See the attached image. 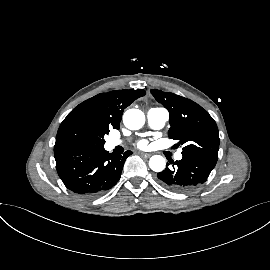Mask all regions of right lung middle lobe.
Listing matches in <instances>:
<instances>
[{
	"instance_id": "obj_1",
	"label": "right lung middle lobe",
	"mask_w": 270,
	"mask_h": 270,
	"mask_svg": "<svg viewBox=\"0 0 270 270\" xmlns=\"http://www.w3.org/2000/svg\"><path fill=\"white\" fill-rule=\"evenodd\" d=\"M108 130L87 120L82 113L68 114L61 123L54 148L65 146L104 147Z\"/></svg>"
}]
</instances>
